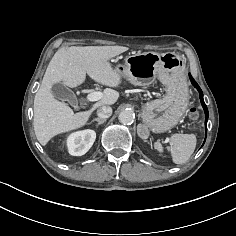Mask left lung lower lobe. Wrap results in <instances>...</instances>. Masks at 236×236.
I'll return each mask as SVG.
<instances>
[{
    "label": "left lung lower lobe",
    "instance_id": "left-lung-lower-lobe-1",
    "mask_svg": "<svg viewBox=\"0 0 236 236\" xmlns=\"http://www.w3.org/2000/svg\"><path fill=\"white\" fill-rule=\"evenodd\" d=\"M189 77H190V80H191L193 86L199 91L200 101H201V104H202L204 112H205V127H206V134H207L208 109H207V106H206V104H205V102L203 100V93H202V90L199 87V85L196 83V81L191 76V74H189Z\"/></svg>",
    "mask_w": 236,
    "mask_h": 236
}]
</instances>
